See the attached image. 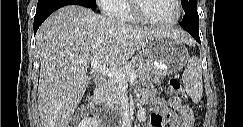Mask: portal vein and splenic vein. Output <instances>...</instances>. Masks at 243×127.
Wrapping results in <instances>:
<instances>
[{
	"label": "portal vein and splenic vein",
	"mask_w": 243,
	"mask_h": 127,
	"mask_svg": "<svg viewBox=\"0 0 243 127\" xmlns=\"http://www.w3.org/2000/svg\"><path fill=\"white\" fill-rule=\"evenodd\" d=\"M91 68L93 71L98 72L99 74H102L104 76H107L110 79L119 82L120 84H126L128 81L133 82L136 79L135 71L129 72L128 76H126L124 72L118 69H110L102 65L99 59H93L91 61Z\"/></svg>",
	"instance_id": "18ae733b"
}]
</instances>
